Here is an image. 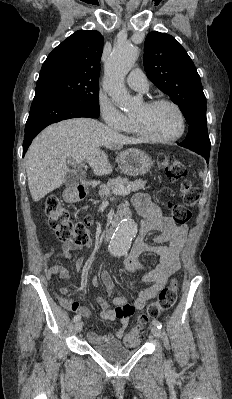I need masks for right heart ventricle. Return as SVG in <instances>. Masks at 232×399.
Returning a JSON list of instances; mask_svg holds the SVG:
<instances>
[{"label":"right heart ventricle","mask_w":232,"mask_h":399,"mask_svg":"<svg viewBox=\"0 0 232 399\" xmlns=\"http://www.w3.org/2000/svg\"><path fill=\"white\" fill-rule=\"evenodd\" d=\"M121 131H123L125 133H129V134H133V135L137 134L132 122H129Z\"/></svg>","instance_id":"right-heart-ventricle-1"}]
</instances>
